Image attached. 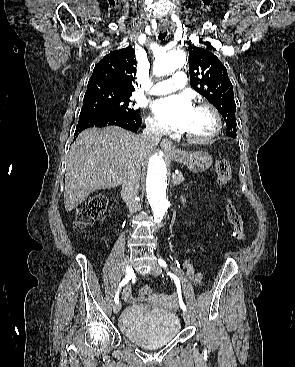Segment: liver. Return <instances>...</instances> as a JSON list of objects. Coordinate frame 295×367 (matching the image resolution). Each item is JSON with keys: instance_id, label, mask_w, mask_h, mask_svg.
<instances>
[{"instance_id": "obj_1", "label": "liver", "mask_w": 295, "mask_h": 367, "mask_svg": "<svg viewBox=\"0 0 295 367\" xmlns=\"http://www.w3.org/2000/svg\"><path fill=\"white\" fill-rule=\"evenodd\" d=\"M151 148L122 128H90L70 148L65 174L64 206L73 210L96 190L121 185L130 170L141 172Z\"/></svg>"}]
</instances>
